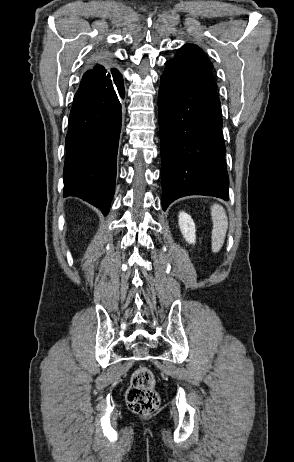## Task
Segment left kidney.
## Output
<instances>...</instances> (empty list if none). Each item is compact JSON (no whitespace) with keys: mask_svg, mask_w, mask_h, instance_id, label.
Returning a JSON list of instances; mask_svg holds the SVG:
<instances>
[{"mask_svg":"<svg viewBox=\"0 0 294 462\" xmlns=\"http://www.w3.org/2000/svg\"><path fill=\"white\" fill-rule=\"evenodd\" d=\"M179 227L180 231L189 244H195V224L191 216L185 212L179 213Z\"/></svg>","mask_w":294,"mask_h":462,"instance_id":"left-kidney-1","label":"left kidney"}]
</instances>
